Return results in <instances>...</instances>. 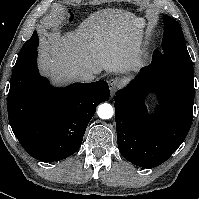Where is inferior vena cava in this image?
Returning <instances> with one entry per match:
<instances>
[{"instance_id": "602c4592", "label": "inferior vena cava", "mask_w": 199, "mask_h": 199, "mask_svg": "<svg viewBox=\"0 0 199 199\" xmlns=\"http://www.w3.org/2000/svg\"><path fill=\"white\" fill-rule=\"evenodd\" d=\"M98 72L96 71H92V70H85L82 71L79 75V79L81 81H85V82H91L93 80H95L96 76L95 74H97Z\"/></svg>"}]
</instances>
